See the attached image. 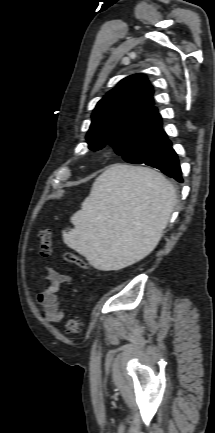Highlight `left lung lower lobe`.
Here are the masks:
<instances>
[{"mask_svg":"<svg viewBox=\"0 0 215 433\" xmlns=\"http://www.w3.org/2000/svg\"><path fill=\"white\" fill-rule=\"evenodd\" d=\"M167 176L174 178L178 182H183L181 168L176 152L172 148L171 141L166 138L159 164L155 167Z\"/></svg>","mask_w":215,"mask_h":433,"instance_id":"1","label":"left lung lower lobe"}]
</instances>
